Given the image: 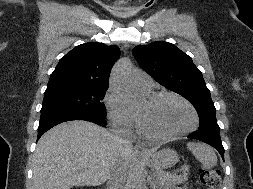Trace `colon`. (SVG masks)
Masks as SVG:
<instances>
[{"label": "colon", "mask_w": 253, "mask_h": 189, "mask_svg": "<svg viewBox=\"0 0 253 189\" xmlns=\"http://www.w3.org/2000/svg\"><path fill=\"white\" fill-rule=\"evenodd\" d=\"M200 182L204 189H218L221 184L220 172L216 169L201 168Z\"/></svg>", "instance_id": "5ec220e1"}]
</instances>
